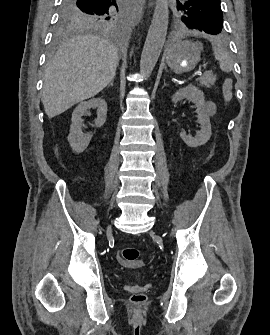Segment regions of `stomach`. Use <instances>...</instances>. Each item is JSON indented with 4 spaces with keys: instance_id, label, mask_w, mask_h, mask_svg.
<instances>
[{
    "instance_id": "0dacf381",
    "label": "stomach",
    "mask_w": 270,
    "mask_h": 335,
    "mask_svg": "<svg viewBox=\"0 0 270 335\" xmlns=\"http://www.w3.org/2000/svg\"><path fill=\"white\" fill-rule=\"evenodd\" d=\"M202 52L201 42H192V40H183L176 42L165 52L166 62L176 74L190 72L200 62Z\"/></svg>"
}]
</instances>
